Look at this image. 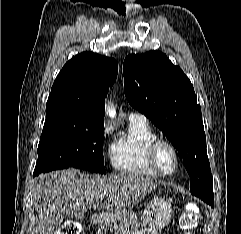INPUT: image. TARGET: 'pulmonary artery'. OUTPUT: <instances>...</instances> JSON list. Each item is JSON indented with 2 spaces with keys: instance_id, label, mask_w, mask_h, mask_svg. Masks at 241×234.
I'll return each mask as SVG.
<instances>
[{
  "instance_id": "pulmonary-artery-1",
  "label": "pulmonary artery",
  "mask_w": 241,
  "mask_h": 234,
  "mask_svg": "<svg viewBox=\"0 0 241 234\" xmlns=\"http://www.w3.org/2000/svg\"><path fill=\"white\" fill-rule=\"evenodd\" d=\"M129 120H139V121H147L146 117L140 113L132 112L129 114Z\"/></svg>"
}]
</instances>
